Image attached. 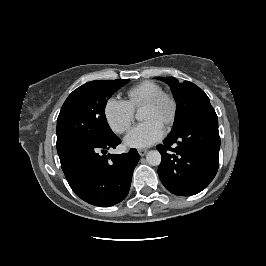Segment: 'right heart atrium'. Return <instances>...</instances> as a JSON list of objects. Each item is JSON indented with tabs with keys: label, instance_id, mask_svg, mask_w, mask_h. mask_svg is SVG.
<instances>
[{
	"label": "right heart atrium",
	"instance_id": "d8ad5b80",
	"mask_svg": "<svg viewBox=\"0 0 266 266\" xmlns=\"http://www.w3.org/2000/svg\"><path fill=\"white\" fill-rule=\"evenodd\" d=\"M104 116L110 128L122 134L126 132L134 120V108L128 101L111 97L104 107Z\"/></svg>",
	"mask_w": 266,
	"mask_h": 266
}]
</instances>
